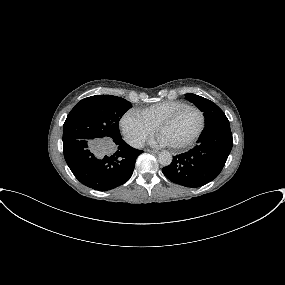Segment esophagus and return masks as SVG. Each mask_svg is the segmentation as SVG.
I'll return each instance as SVG.
<instances>
[{
	"label": "esophagus",
	"instance_id": "obj_1",
	"mask_svg": "<svg viewBox=\"0 0 285 285\" xmlns=\"http://www.w3.org/2000/svg\"><path fill=\"white\" fill-rule=\"evenodd\" d=\"M146 151H147V152H150V153H155V154L159 153V151H157V150H151V149H147Z\"/></svg>",
	"mask_w": 285,
	"mask_h": 285
}]
</instances>
